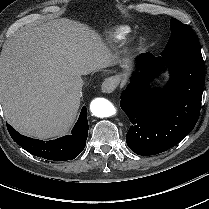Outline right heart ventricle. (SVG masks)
<instances>
[{"mask_svg":"<svg viewBox=\"0 0 209 209\" xmlns=\"http://www.w3.org/2000/svg\"><path fill=\"white\" fill-rule=\"evenodd\" d=\"M124 30H126V28H123ZM122 31V29L120 30ZM122 33L121 32H117L116 37H121Z\"/></svg>","mask_w":209,"mask_h":209,"instance_id":"e07e8e85","label":"right heart ventricle"}]
</instances>
